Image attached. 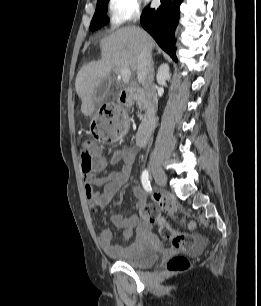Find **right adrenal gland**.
<instances>
[{
	"label": "right adrenal gland",
	"instance_id": "2a0ac1e0",
	"mask_svg": "<svg viewBox=\"0 0 261 306\" xmlns=\"http://www.w3.org/2000/svg\"><path fill=\"white\" fill-rule=\"evenodd\" d=\"M152 71L154 73V61H152Z\"/></svg>",
	"mask_w": 261,
	"mask_h": 306
}]
</instances>
